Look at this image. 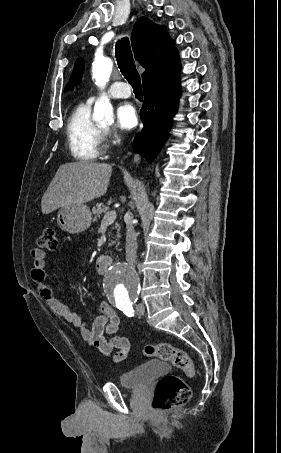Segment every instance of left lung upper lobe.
I'll return each mask as SVG.
<instances>
[{"label":"left lung upper lobe","instance_id":"obj_1","mask_svg":"<svg viewBox=\"0 0 281 453\" xmlns=\"http://www.w3.org/2000/svg\"><path fill=\"white\" fill-rule=\"evenodd\" d=\"M82 73H83V62L81 59H78L75 64L74 71L67 88H71L74 85H76L81 80Z\"/></svg>","mask_w":281,"mask_h":453}]
</instances>
